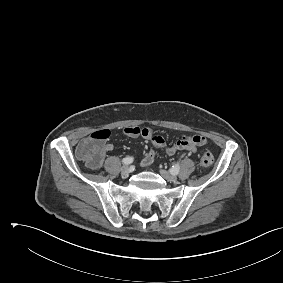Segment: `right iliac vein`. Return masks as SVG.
<instances>
[{
    "label": "right iliac vein",
    "instance_id": "right-iliac-vein-1",
    "mask_svg": "<svg viewBox=\"0 0 283 283\" xmlns=\"http://www.w3.org/2000/svg\"><path fill=\"white\" fill-rule=\"evenodd\" d=\"M129 173H130V167H129L128 165L122 166V168H121V174H122L123 176H128Z\"/></svg>",
    "mask_w": 283,
    "mask_h": 283
}]
</instances>
